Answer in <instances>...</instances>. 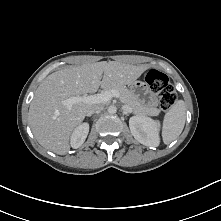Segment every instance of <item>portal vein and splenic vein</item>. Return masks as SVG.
<instances>
[{
    "label": "portal vein and splenic vein",
    "mask_w": 221,
    "mask_h": 221,
    "mask_svg": "<svg viewBox=\"0 0 221 221\" xmlns=\"http://www.w3.org/2000/svg\"><path fill=\"white\" fill-rule=\"evenodd\" d=\"M112 97L119 98L120 94L116 90H110L90 96H72L66 99L65 101H63V104L67 106L68 110H71L73 104H78V103L102 104L110 101Z\"/></svg>",
    "instance_id": "1"
}]
</instances>
